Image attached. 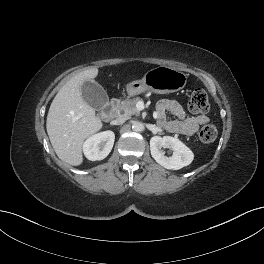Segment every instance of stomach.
I'll return each mask as SVG.
<instances>
[{
  "label": "stomach",
  "mask_w": 264,
  "mask_h": 264,
  "mask_svg": "<svg viewBox=\"0 0 264 264\" xmlns=\"http://www.w3.org/2000/svg\"><path fill=\"white\" fill-rule=\"evenodd\" d=\"M186 83L187 76L185 73L167 66H158L147 71L141 80L128 83L126 91L130 96L147 91L166 94L183 89Z\"/></svg>",
  "instance_id": "0dacf381"
}]
</instances>
